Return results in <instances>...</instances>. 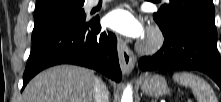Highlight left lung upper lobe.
Instances as JSON below:
<instances>
[{"mask_svg":"<svg viewBox=\"0 0 221 102\" xmlns=\"http://www.w3.org/2000/svg\"><path fill=\"white\" fill-rule=\"evenodd\" d=\"M153 17L162 32H168L181 23H192L217 35L212 0H170Z\"/></svg>","mask_w":221,"mask_h":102,"instance_id":"5c2ea615","label":"left lung upper lobe"}]
</instances>
